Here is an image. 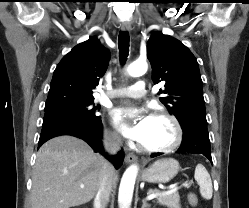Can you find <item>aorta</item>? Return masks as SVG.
Wrapping results in <instances>:
<instances>
[{"mask_svg": "<svg viewBox=\"0 0 249 208\" xmlns=\"http://www.w3.org/2000/svg\"><path fill=\"white\" fill-rule=\"evenodd\" d=\"M147 69L148 65L146 61L138 60L129 65L127 72L133 77H139L145 74ZM137 174V165L129 166L124 172L118 193L119 208H130Z\"/></svg>", "mask_w": 249, "mask_h": 208, "instance_id": "762f6f07", "label": "aorta"}]
</instances>
